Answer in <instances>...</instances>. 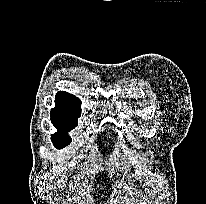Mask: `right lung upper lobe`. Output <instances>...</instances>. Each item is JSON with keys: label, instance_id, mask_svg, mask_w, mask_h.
I'll list each match as a JSON object with an SVG mask.
<instances>
[{"label": "right lung upper lobe", "instance_id": "cb5924a9", "mask_svg": "<svg viewBox=\"0 0 206 204\" xmlns=\"http://www.w3.org/2000/svg\"><path fill=\"white\" fill-rule=\"evenodd\" d=\"M55 108L51 110V113H63L74 116L81 115V101L74 95L60 91L55 97Z\"/></svg>", "mask_w": 206, "mask_h": 204}]
</instances>
